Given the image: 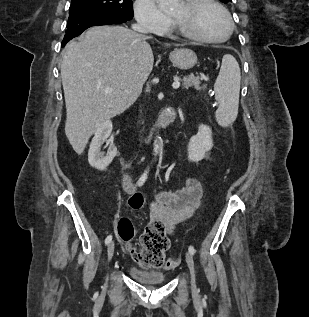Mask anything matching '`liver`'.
<instances>
[{
	"mask_svg": "<svg viewBox=\"0 0 309 317\" xmlns=\"http://www.w3.org/2000/svg\"><path fill=\"white\" fill-rule=\"evenodd\" d=\"M148 39L125 27L104 25L89 28L65 47V134L77 154L102 123L123 113L140 95L154 64Z\"/></svg>",
	"mask_w": 309,
	"mask_h": 317,
	"instance_id": "6515ba94",
	"label": "liver"
}]
</instances>
